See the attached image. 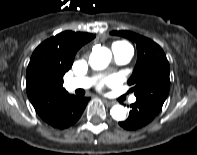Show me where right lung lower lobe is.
I'll return each instance as SVG.
<instances>
[{"instance_id": "obj_1", "label": "right lung lower lobe", "mask_w": 197, "mask_h": 155, "mask_svg": "<svg viewBox=\"0 0 197 155\" xmlns=\"http://www.w3.org/2000/svg\"><path fill=\"white\" fill-rule=\"evenodd\" d=\"M88 101L89 98L70 95L47 123L54 128H68L80 118Z\"/></svg>"}]
</instances>
